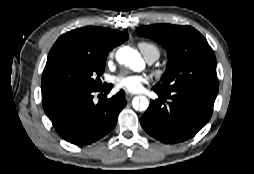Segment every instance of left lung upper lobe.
Segmentation results:
<instances>
[{"instance_id": "obj_1", "label": "left lung upper lobe", "mask_w": 254, "mask_h": 174, "mask_svg": "<svg viewBox=\"0 0 254 174\" xmlns=\"http://www.w3.org/2000/svg\"><path fill=\"white\" fill-rule=\"evenodd\" d=\"M136 31L167 50V68L155 89L165 93L182 88L218 92L214 52L195 28L157 24L140 27Z\"/></svg>"}]
</instances>
